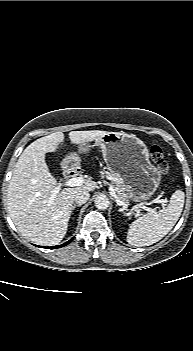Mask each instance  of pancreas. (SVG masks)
Listing matches in <instances>:
<instances>
[{
	"label": "pancreas",
	"instance_id": "obj_1",
	"mask_svg": "<svg viewBox=\"0 0 193 351\" xmlns=\"http://www.w3.org/2000/svg\"><path fill=\"white\" fill-rule=\"evenodd\" d=\"M101 177H106L111 180V183L115 186V192L121 201L129 205V201L132 199L131 195L128 193L123 178L114 173L108 171L101 172Z\"/></svg>",
	"mask_w": 193,
	"mask_h": 351
}]
</instances>
